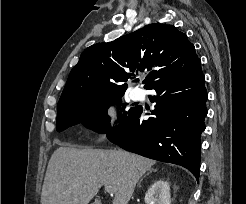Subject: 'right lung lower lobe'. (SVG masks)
Listing matches in <instances>:
<instances>
[{
	"mask_svg": "<svg viewBox=\"0 0 246 204\" xmlns=\"http://www.w3.org/2000/svg\"><path fill=\"white\" fill-rule=\"evenodd\" d=\"M147 89L157 96L153 117L141 118L143 109L136 107L108 139L123 149L163 162L187 168L198 180L200 135L207 115L205 77L201 61L172 71Z\"/></svg>",
	"mask_w": 246,
	"mask_h": 204,
	"instance_id": "98d812e1",
	"label": "right lung lower lobe"
}]
</instances>
